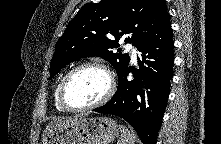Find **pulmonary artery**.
I'll return each instance as SVG.
<instances>
[{"instance_id": "pulmonary-artery-1", "label": "pulmonary artery", "mask_w": 221, "mask_h": 144, "mask_svg": "<svg viewBox=\"0 0 221 144\" xmlns=\"http://www.w3.org/2000/svg\"><path fill=\"white\" fill-rule=\"evenodd\" d=\"M126 49L128 51H130L131 59H132V61L135 62L137 60V54H138L137 48L134 45H132V44H127L126 45Z\"/></svg>"}]
</instances>
